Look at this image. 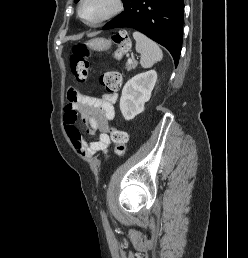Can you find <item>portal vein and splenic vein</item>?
<instances>
[{
    "mask_svg": "<svg viewBox=\"0 0 248 258\" xmlns=\"http://www.w3.org/2000/svg\"><path fill=\"white\" fill-rule=\"evenodd\" d=\"M131 62H132V59H131V58H129V59H128V63H131Z\"/></svg>",
    "mask_w": 248,
    "mask_h": 258,
    "instance_id": "18ae733b",
    "label": "portal vein and splenic vein"
}]
</instances>
